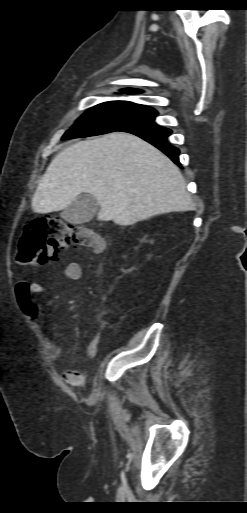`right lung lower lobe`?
<instances>
[{
    "label": "right lung lower lobe",
    "instance_id": "98d812e1",
    "mask_svg": "<svg viewBox=\"0 0 247 513\" xmlns=\"http://www.w3.org/2000/svg\"><path fill=\"white\" fill-rule=\"evenodd\" d=\"M121 131L132 133L151 143L158 149H160L163 153H165L171 160L174 161L177 165L181 166L179 163V149L173 147L169 144L166 138L171 134V130L165 127H161L156 125V123L151 121H146L142 123H137L133 125H129L123 128Z\"/></svg>",
    "mask_w": 247,
    "mask_h": 513
}]
</instances>
